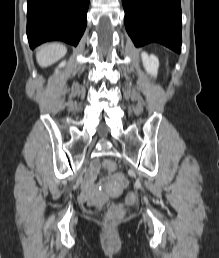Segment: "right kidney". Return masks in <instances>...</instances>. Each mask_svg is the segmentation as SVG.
I'll use <instances>...</instances> for the list:
<instances>
[{
  "mask_svg": "<svg viewBox=\"0 0 219 258\" xmlns=\"http://www.w3.org/2000/svg\"><path fill=\"white\" fill-rule=\"evenodd\" d=\"M66 64V62H62L60 65H59V68L61 67H64V65ZM58 72V69H56V73Z\"/></svg>",
  "mask_w": 219,
  "mask_h": 258,
  "instance_id": "ca27d5eb",
  "label": "right kidney"
}]
</instances>
